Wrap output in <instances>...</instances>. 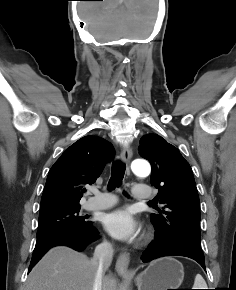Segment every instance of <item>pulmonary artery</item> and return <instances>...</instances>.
I'll return each instance as SVG.
<instances>
[{"label": "pulmonary artery", "mask_w": 236, "mask_h": 290, "mask_svg": "<svg viewBox=\"0 0 236 290\" xmlns=\"http://www.w3.org/2000/svg\"><path fill=\"white\" fill-rule=\"evenodd\" d=\"M133 197L136 200H149L153 197L154 192L149 187L136 186L132 189ZM116 203V198L109 193L96 192L95 196L90 198L84 205L87 210L107 209Z\"/></svg>", "instance_id": "1"}]
</instances>
